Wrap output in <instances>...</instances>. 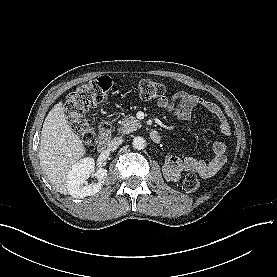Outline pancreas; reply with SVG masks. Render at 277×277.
<instances>
[{"label": "pancreas", "instance_id": "1", "mask_svg": "<svg viewBox=\"0 0 277 277\" xmlns=\"http://www.w3.org/2000/svg\"><path fill=\"white\" fill-rule=\"evenodd\" d=\"M138 126L139 122L135 119V117L126 116L120 121L118 131L120 133H129L135 130Z\"/></svg>", "mask_w": 277, "mask_h": 277}]
</instances>
